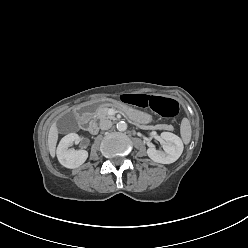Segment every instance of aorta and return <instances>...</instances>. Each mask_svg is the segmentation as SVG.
<instances>
[{"label":"aorta","instance_id":"762f6f07","mask_svg":"<svg viewBox=\"0 0 248 248\" xmlns=\"http://www.w3.org/2000/svg\"><path fill=\"white\" fill-rule=\"evenodd\" d=\"M117 129L119 131H125L127 129V123L124 121H120L117 123Z\"/></svg>","mask_w":248,"mask_h":248}]
</instances>
